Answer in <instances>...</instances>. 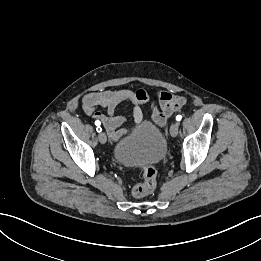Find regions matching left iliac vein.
<instances>
[{"label":"left iliac vein","mask_w":261,"mask_h":261,"mask_svg":"<svg viewBox=\"0 0 261 261\" xmlns=\"http://www.w3.org/2000/svg\"><path fill=\"white\" fill-rule=\"evenodd\" d=\"M179 123H173L170 127V134L172 137H176L178 134Z\"/></svg>","instance_id":"left-iliac-vein-1"}]
</instances>
